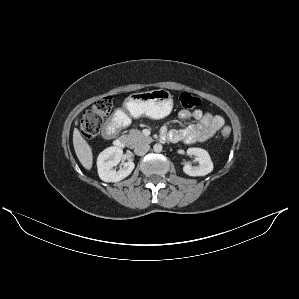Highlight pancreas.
<instances>
[{"label": "pancreas", "instance_id": "pancreas-1", "mask_svg": "<svg viewBox=\"0 0 299 299\" xmlns=\"http://www.w3.org/2000/svg\"><path fill=\"white\" fill-rule=\"evenodd\" d=\"M128 140V144L132 147H135L142 143H150L152 142V138L145 136L141 131L137 129L130 130V133L126 136Z\"/></svg>", "mask_w": 299, "mask_h": 299}]
</instances>
